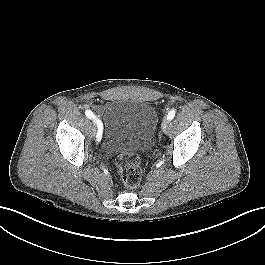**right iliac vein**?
Instances as JSON below:
<instances>
[{
  "instance_id": "63e3f726",
  "label": "right iliac vein",
  "mask_w": 265,
  "mask_h": 265,
  "mask_svg": "<svg viewBox=\"0 0 265 265\" xmlns=\"http://www.w3.org/2000/svg\"><path fill=\"white\" fill-rule=\"evenodd\" d=\"M97 132L96 126L93 127V133L95 134Z\"/></svg>"
}]
</instances>
